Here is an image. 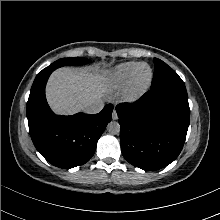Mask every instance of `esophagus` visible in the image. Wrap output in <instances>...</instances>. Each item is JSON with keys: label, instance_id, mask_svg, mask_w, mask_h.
<instances>
[{"label": "esophagus", "instance_id": "esophagus-1", "mask_svg": "<svg viewBox=\"0 0 220 220\" xmlns=\"http://www.w3.org/2000/svg\"><path fill=\"white\" fill-rule=\"evenodd\" d=\"M112 119L113 120H117L118 119V115H117V112H116L115 109L113 110V113H112Z\"/></svg>", "mask_w": 220, "mask_h": 220}]
</instances>
